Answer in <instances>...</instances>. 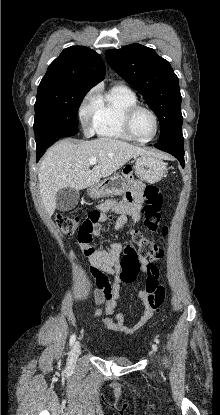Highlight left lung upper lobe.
I'll list each match as a JSON object with an SVG mask.
<instances>
[{
    "instance_id": "5c2ea615",
    "label": "left lung upper lobe",
    "mask_w": 220,
    "mask_h": 415,
    "mask_svg": "<svg viewBox=\"0 0 220 415\" xmlns=\"http://www.w3.org/2000/svg\"><path fill=\"white\" fill-rule=\"evenodd\" d=\"M108 64L146 99L160 124V143L182 140L179 80L170 63L140 44L105 52Z\"/></svg>"
}]
</instances>
